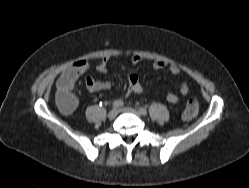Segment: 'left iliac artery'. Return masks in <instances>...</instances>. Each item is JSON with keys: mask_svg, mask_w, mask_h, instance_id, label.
Segmentation results:
<instances>
[{"mask_svg": "<svg viewBox=\"0 0 249 188\" xmlns=\"http://www.w3.org/2000/svg\"><path fill=\"white\" fill-rule=\"evenodd\" d=\"M139 112H140L142 115H147V109H146V108L140 107V108H139Z\"/></svg>", "mask_w": 249, "mask_h": 188, "instance_id": "1", "label": "left iliac artery"}]
</instances>
